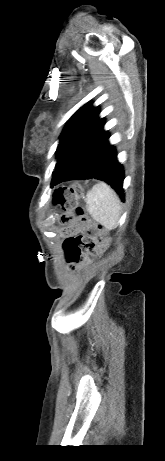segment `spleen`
<instances>
[{
    "label": "spleen",
    "mask_w": 165,
    "mask_h": 461,
    "mask_svg": "<svg viewBox=\"0 0 165 461\" xmlns=\"http://www.w3.org/2000/svg\"><path fill=\"white\" fill-rule=\"evenodd\" d=\"M86 209L91 217L108 230L117 227L120 218V200L105 182H98L86 195Z\"/></svg>",
    "instance_id": "1"
}]
</instances>
